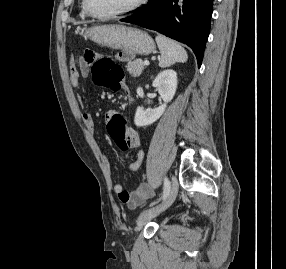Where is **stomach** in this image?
<instances>
[{
    "label": "stomach",
    "instance_id": "obj_1",
    "mask_svg": "<svg viewBox=\"0 0 286 269\" xmlns=\"http://www.w3.org/2000/svg\"><path fill=\"white\" fill-rule=\"evenodd\" d=\"M85 37L110 49H134V54L149 55L155 51L153 39L144 31L123 25H100L85 31Z\"/></svg>",
    "mask_w": 286,
    "mask_h": 269
}]
</instances>
